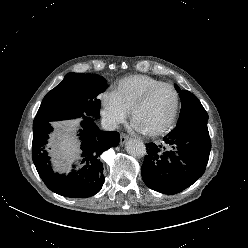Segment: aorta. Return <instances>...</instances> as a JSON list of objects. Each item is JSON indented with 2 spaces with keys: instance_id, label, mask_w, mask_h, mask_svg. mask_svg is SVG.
I'll list each match as a JSON object with an SVG mask.
<instances>
[{
  "instance_id": "obj_1",
  "label": "aorta",
  "mask_w": 248,
  "mask_h": 248,
  "mask_svg": "<svg viewBox=\"0 0 248 248\" xmlns=\"http://www.w3.org/2000/svg\"><path fill=\"white\" fill-rule=\"evenodd\" d=\"M126 151L134 157H143L146 154V147L142 141L131 139L126 143Z\"/></svg>"
}]
</instances>
